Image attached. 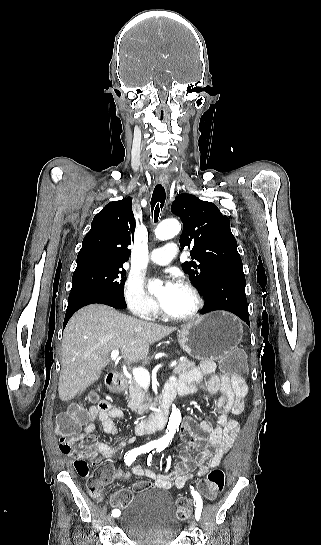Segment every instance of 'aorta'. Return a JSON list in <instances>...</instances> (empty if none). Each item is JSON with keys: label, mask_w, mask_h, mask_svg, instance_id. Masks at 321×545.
Masks as SVG:
<instances>
[{"label": "aorta", "mask_w": 321, "mask_h": 545, "mask_svg": "<svg viewBox=\"0 0 321 545\" xmlns=\"http://www.w3.org/2000/svg\"><path fill=\"white\" fill-rule=\"evenodd\" d=\"M181 231V225L178 220L176 219H169L162 221L157 228L155 229V235L156 238L160 240H168L176 236ZM149 291L151 292H157L158 286L157 284H149L148 287ZM181 422V413L176 407L173 405L172 413L169 418V423L166 431V435L161 438V442L163 444H169L170 441L173 439V436L178 429Z\"/></svg>", "instance_id": "obj_1"}]
</instances>
